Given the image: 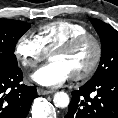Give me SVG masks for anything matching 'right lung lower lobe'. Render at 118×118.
<instances>
[{
    "instance_id": "obj_1",
    "label": "right lung lower lobe",
    "mask_w": 118,
    "mask_h": 118,
    "mask_svg": "<svg viewBox=\"0 0 118 118\" xmlns=\"http://www.w3.org/2000/svg\"><path fill=\"white\" fill-rule=\"evenodd\" d=\"M22 79L20 68H0V118H26L37 90Z\"/></svg>"
}]
</instances>
